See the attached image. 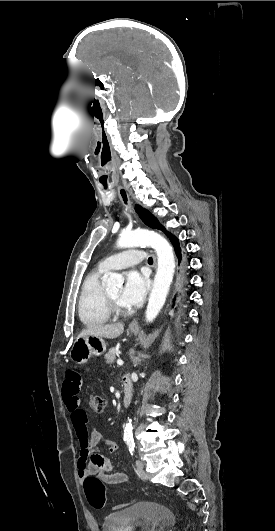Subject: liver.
I'll list each match as a JSON object with an SVG mask.
<instances>
[{
	"label": "liver",
	"instance_id": "obj_1",
	"mask_svg": "<svg viewBox=\"0 0 275 531\" xmlns=\"http://www.w3.org/2000/svg\"><path fill=\"white\" fill-rule=\"evenodd\" d=\"M124 331L122 323H112V325H90L88 329H83L79 337H87V335H96V337H104V339H116L120 337Z\"/></svg>",
	"mask_w": 275,
	"mask_h": 531
}]
</instances>
